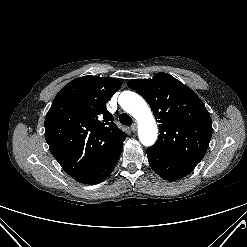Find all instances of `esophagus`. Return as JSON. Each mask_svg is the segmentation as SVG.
<instances>
[{"instance_id": "obj_1", "label": "esophagus", "mask_w": 247, "mask_h": 247, "mask_svg": "<svg viewBox=\"0 0 247 247\" xmlns=\"http://www.w3.org/2000/svg\"><path fill=\"white\" fill-rule=\"evenodd\" d=\"M131 130H132V132H136V130H137V124L136 123H133L131 125Z\"/></svg>"}]
</instances>
